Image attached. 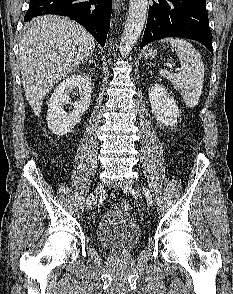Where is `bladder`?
Here are the masks:
<instances>
[{"mask_svg": "<svg viewBox=\"0 0 233 294\" xmlns=\"http://www.w3.org/2000/svg\"><path fill=\"white\" fill-rule=\"evenodd\" d=\"M141 236L137 220L128 212L113 210L107 212L96 228V238L106 250L128 253L138 244Z\"/></svg>", "mask_w": 233, "mask_h": 294, "instance_id": "bladder-1", "label": "bladder"}]
</instances>
